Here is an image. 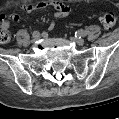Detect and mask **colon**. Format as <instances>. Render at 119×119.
<instances>
[{
    "instance_id": "obj_1",
    "label": "colon",
    "mask_w": 119,
    "mask_h": 119,
    "mask_svg": "<svg viewBox=\"0 0 119 119\" xmlns=\"http://www.w3.org/2000/svg\"><path fill=\"white\" fill-rule=\"evenodd\" d=\"M117 22V15L114 12L105 13L101 17V23L107 29H110L115 26ZM10 33L8 29H4L2 26L0 28V43H8L10 41Z\"/></svg>"
}]
</instances>
